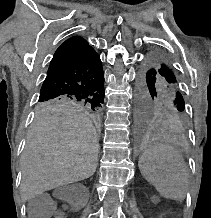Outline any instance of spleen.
I'll list each match as a JSON object with an SVG mask.
<instances>
[{
  "mask_svg": "<svg viewBox=\"0 0 211 218\" xmlns=\"http://www.w3.org/2000/svg\"><path fill=\"white\" fill-rule=\"evenodd\" d=\"M139 170L160 196L183 202L189 188V174L184 164L175 152L170 150H146L139 158Z\"/></svg>",
  "mask_w": 211,
  "mask_h": 218,
  "instance_id": "obj_1",
  "label": "spleen"
}]
</instances>
